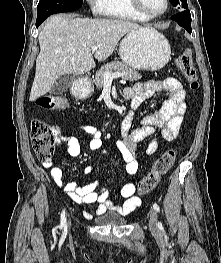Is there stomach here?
Masks as SVG:
<instances>
[{
	"instance_id": "0dacf381",
	"label": "stomach",
	"mask_w": 221,
	"mask_h": 263,
	"mask_svg": "<svg viewBox=\"0 0 221 263\" xmlns=\"http://www.w3.org/2000/svg\"><path fill=\"white\" fill-rule=\"evenodd\" d=\"M119 55L123 63L133 69L156 71L169 62L171 48L156 30H134L121 41Z\"/></svg>"
}]
</instances>
